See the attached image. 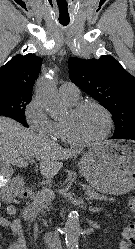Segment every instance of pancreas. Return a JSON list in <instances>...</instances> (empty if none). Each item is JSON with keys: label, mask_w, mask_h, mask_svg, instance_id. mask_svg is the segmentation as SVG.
Returning a JSON list of instances; mask_svg holds the SVG:
<instances>
[{"label": "pancreas", "mask_w": 135, "mask_h": 249, "mask_svg": "<svg viewBox=\"0 0 135 249\" xmlns=\"http://www.w3.org/2000/svg\"><path fill=\"white\" fill-rule=\"evenodd\" d=\"M50 192H52L50 187L43 188L41 191L37 192L33 196L32 203L30 204V206L25 208V210L23 211V217L25 219H32L35 215L43 213L44 209L47 207L49 201L51 200L49 197ZM86 194L88 195L89 199L107 200L105 196H101L92 188H87ZM108 200L110 202H114L113 198H110Z\"/></svg>", "instance_id": "obj_1"}]
</instances>
